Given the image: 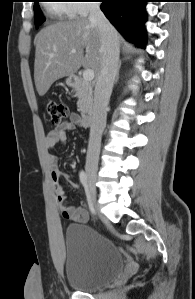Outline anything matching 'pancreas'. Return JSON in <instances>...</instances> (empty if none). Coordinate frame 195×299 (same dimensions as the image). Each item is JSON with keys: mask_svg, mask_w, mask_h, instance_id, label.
<instances>
[{"mask_svg": "<svg viewBox=\"0 0 195 299\" xmlns=\"http://www.w3.org/2000/svg\"><path fill=\"white\" fill-rule=\"evenodd\" d=\"M75 96L78 98V109L82 114L87 113L93 104V90L91 83L81 80L75 89Z\"/></svg>", "mask_w": 195, "mask_h": 299, "instance_id": "pancreas-1", "label": "pancreas"}]
</instances>
